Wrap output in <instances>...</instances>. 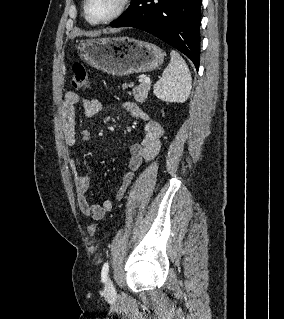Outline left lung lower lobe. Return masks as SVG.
Returning a JSON list of instances; mask_svg holds the SVG:
<instances>
[{
  "label": "left lung lower lobe",
  "instance_id": "1",
  "mask_svg": "<svg viewBox=\"0 0 284 319\" xmlns=\"http://www.w3.org/2000/svg\"><path fill=\"white\" fill-rule=\"evenodd\" d=\"M202 0H132L111 27L130 26L160 38L185 54L199 69Z\"/></svg>",
  "mask_w": 284,
  "mask_h": 319
}]
</instances>
